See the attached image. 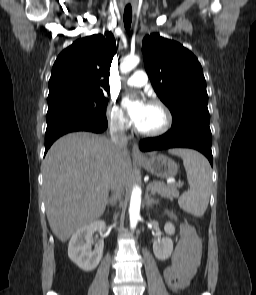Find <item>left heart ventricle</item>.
<instances>
[{
	"label": "left heart ventricle",
	"instance_id": "obj_1",
	"mask_svg": "<svg viewBox=\"0 0 256 295\" xmlns=\"http://www.w3.org/2000/svg\"><path fill=\"white\" fill-rule=\"evenodd\" d=\"M163 122V115L156 107L148 105L146 114L137 128L141 130H152L158 128Z\"/></svg>",
	"mask_w": 256,
	"mask_h": 295
}]
</instances>
